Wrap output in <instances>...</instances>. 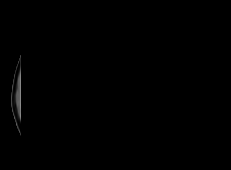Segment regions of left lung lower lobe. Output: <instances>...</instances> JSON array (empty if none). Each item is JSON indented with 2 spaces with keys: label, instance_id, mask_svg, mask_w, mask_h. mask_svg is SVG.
Masks as SVG:
<instances>
[{
  "label": "left lung lower lobe",
  "instance_id": "left-lung-lower-lobe-1",
  "mask_svg": "<svg viewBox=\"0 0 231 170\" xmlns=\"http://www.w3.org/2000/svg\"><path fill=\"white\" fill-rule=\"evenodd\" d=\"M134 110L142 113L133 128L136 142L145 150L154 154H169L185 145L197 133V124L203 119V112L196 119L191 120V128L180 135L160 138L157 135V118L145 103H137Z\"/></svg>",
  "mask_w": 231,
  "mask_h": 170
}]
</instances>
